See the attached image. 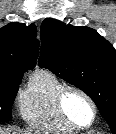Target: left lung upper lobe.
I'll return each mask as SVG.
<instances>
[{
	"label": "left lung upper lobe",
	"mask_w": 116,
	"mask_h": 134,
	"mask_svg": "<svg viewBox=\"0 0 116 134\" xmlns=\"http://www.w3.org/2000/svg\"><path fill=\"white\" fill-rule=\"evenodd\" d=\"M40 67L84 91L116 134V50L89 27L45 19Z\"/></svg>",
	"instance_id": "5c2ea615"
}]
</instances>
